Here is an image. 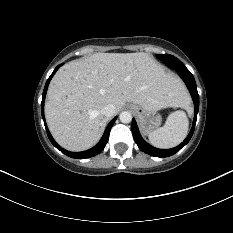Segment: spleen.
I'll use <instances>...</instances> for the list:
<instances>
[{
    "instance_id": "obj_1",
    "label": "spleen",
    "mask_w": 233,
    "mask_h": 233,
    "mask_svg": "<svg viewBox=\"0 0 233 233\" xmlns=\"http://www.w3.org/2000/svg\"><path fill=\"white\" fill-rule=\"evenodd\" d=\"M189 121L184 111L171 113L165 124L149 133L150 143L157 148H173L179 145L188 133Z\"/></svg>"
}]
</instances>
